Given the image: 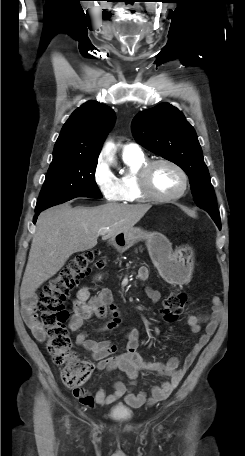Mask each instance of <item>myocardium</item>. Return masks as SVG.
I'll use <instances>...</instances> for the list:
<instances>
[{
	"label": "myocardium",
	"instance_id": "f54148a6",
	"mask_svg": "<svg viewBox=\"0 0 245 456\" xmlns=\"http://www.w3.org/2000/svg\"><path fill=\"white\" fill-rule=\"evenodd\" d=\"M159 164H166L174 168L180 175L182 180L181 189L169 196H163L157 194L151 183V174L153 169ZM137 182L140 188L142 195L149 200L156 201V202H170L180 199L184 196L188 189V176L184 169L178 165L176 162L166 159V158H159L154 160H149L145 164H143L137 172Z\"/></svg>",
	"mask_w": 245,
	"mask_h": 456
}]
</instances>
